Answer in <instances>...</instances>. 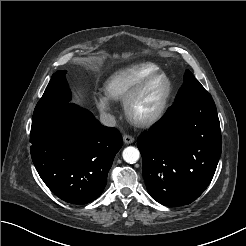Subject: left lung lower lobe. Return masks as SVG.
Returning <instances> with one entry per match:
<instances>
[{"mask_svg": "<svg viewBox=\"0 0 246 246\" xmlns=\"http://www.w3.org/2000/svg\"><path fill=\"white\" fill-rule=\"evenodd\" d=\"M148 193L165 206L187 205L211 182L222 150L220 123L209 93L172 105L140 135Z\"/></svg>", "mask_w": 246, "mask_h": 246, "instance_id": "1", "label": "left lung lower lobe"}]
</instances>
